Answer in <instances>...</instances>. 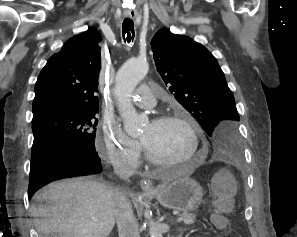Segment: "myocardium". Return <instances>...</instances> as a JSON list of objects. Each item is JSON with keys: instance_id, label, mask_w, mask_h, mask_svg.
Instances as JSON below:
<instances>
[{"instance_id": "myocardium-1", "label": "myocardium", "mask_w": 297, "mask_h": 237, "mask_svg": "<svg viewBox=\"0 0 297 237\" xmlns=\"http://www.w3.org/2000/svg\"><path fill=\"white\" fill-rule=\"evenodd\" d=\"M154 122H162V123H180L188 130L191 140H192V151L185 158L179 160H163L155 156L151 153V151L143 144V149L147 160L156 165V166H173V165H181L193 160L199 153L200 150V137L198 130L193 123V121L184 114H167L159 116L155 119Z\"/></svg>"}]
</instances>
